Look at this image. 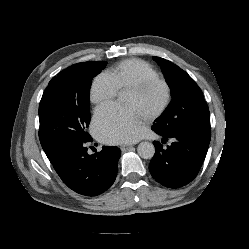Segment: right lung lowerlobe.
Segmentation results:
<instances>
[{"label":"right lung lower lobe","instance_id":"right-lung-lower-lobe-1","mask_svg":"<svg viewBox=\"0 0 249 249\" xmlns=\"http://www.w3.org/2000/svg\"><path fill=\"white\" fill-rule=\"evenodd\" d=\"M64 141L44 150L55 171L73 191L96 196L105 192L115 181L121 151L104 146L100 152L89 155L86 142Z\"/></svg>","mask_w":249,"mask_h":249}]
</instances>
